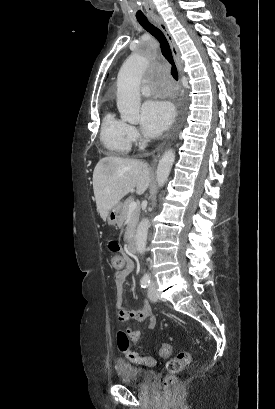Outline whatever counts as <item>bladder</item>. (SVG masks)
<instances>
[{
    "label": "bladder",
    "mask_w": 275,
    "mask_h": 409,
    "mask_svg": "<svg viewBox=\"0 0 275 409\" xmlns=\"http://www.w3.org/2000/svg\"><path fill=\"white\" fill-rule=\"evenodd\" d=\"M158 373L149 368H143L128 362H119L116 366V380L121 384L135 388L148 387L157 378Z\"/></svg>",
    "instance_id": "obj_1"
}]
</instances>
